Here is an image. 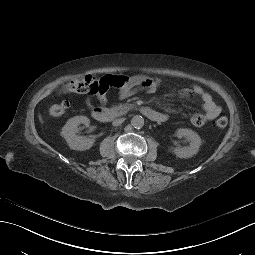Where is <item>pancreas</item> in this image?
Here are the masks:
<instances>
[{
    "mask_svg": "<svg viewBox=\"0 0 255 255\" xmlns=\"http://www.w3.org/2000/svg\"><path fill=\"white\" fill-rule=\"evenodd\" d=\"M125 106H127V104H125V105L120 104L118 106H114V110H115V112H120L125 109Z\"/></svg>",
    "mask_w": 255,
    "mask_h": 255,
    "instance_id": "1",
    "label": "pancreas"
}]
</instances>
